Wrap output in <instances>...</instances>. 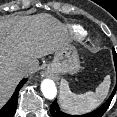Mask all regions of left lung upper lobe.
<instances>
[{
  "label": "left lung upper lobe",
  "mask_w": 117,
  "mask_h": 117,
  "mask_svg": "<svg viewBox=\"0 0 117 117\" xmlns=\"http://www.w3.org/2000/svg\"><path fill=\"white\" fill-rule=\"evenodd\" d=\"M113 55H114V61L117 60V53L114 48H113Z\"/></svg>",
  "instance_id": "1"
}]
</instances>
